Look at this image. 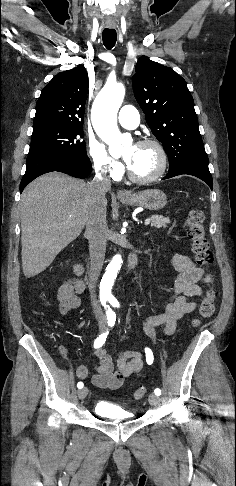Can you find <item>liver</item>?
Wrapping results in <instances>:
<instances>
[{
	"mask_svg": "<svg viewBox=\"0 0 236 486\" xmlns=\"http://www.w3.org/2000/svg\"><path fill=\"white\" fill-rule=\"evenodd\" d=\"M90 205L89 184L59 172L31 182L20 200L22 268L31 278L82 232Z\"/></svg>",
	"mask_w": 236,
	"mask_h": 486,
	"instance_id": "1",
	"label": "liver"
}]
</instances>
